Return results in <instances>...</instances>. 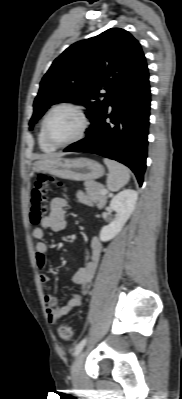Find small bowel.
I'll use <instances>...</instances> for the list:
<instances>
[{
	"label": "small bowel",
	"instance_id": "c3829d8e",
	"mask_svg": "<svg viewBox=\"0 0 182 399\" xmlns=\"http://www.w3.org/2000/svg\"><path fill=\"white\" fill-rule=\"evenodd\" d=\"M78 199L87 205H93L94 202L85 194L79 193ZM67 201L62 197H54L50 202V212L42 220L41 225L33 230V237L38 241L35 246V260L37 267L43 271L47 264V244L44 242L45 229L59 232L66 227L65 210L67 208ZM89 259L85 266L80 268L73 275V282L80 286L81 294H86L91 287L92 280L98 267V262L102 253L101 241L94 237L89 243ZM39 279L42 283L50 281L49 276L45 272H41ZM81 294H75L65 305L59 306L57 299L51 295H45V302L47 305V318L52 324L57 323L62 317L67 315L73 308L79 307L82 304Z\"/></svg>",
	"mask_w": 182,
	"mask_h": 399
}]
</instances>
